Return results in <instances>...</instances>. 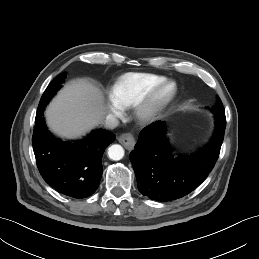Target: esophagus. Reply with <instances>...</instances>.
<instances>
[{
    "instance_id": "34e87169",
    "label": "esophagus",
    "mask_w": 259,
    "mask_h": 259,
    "mask_svg": "<svg viewBox=\"0 0 259 259\" xmlns=\"http://www.w3.org/2000/svg\"><path fill=\"white\" fill-rule=\"evenodd\" d=\"M118 141L127 149L132 150L135 146V138L130 133H124L118 137Z\"/></svg>"
}]
</instances>
